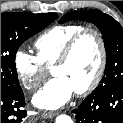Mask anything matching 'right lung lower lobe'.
<instances>
[{"instance_id": "98d812e1", "label": "right lung lower lobe", "mask_w": 123, "mask_h": 123, "mask_svg": "<svg viewBox=\"0 0 123 123\" xmlns=\"http://www.w3.org/2000/svg\"><path fill=\"white\" fill-rule=\"evenodd\" d=\"M25 105L22 89L1 90V123H21L26 116L22 110Z\"/></svg>"}]
</instances>
